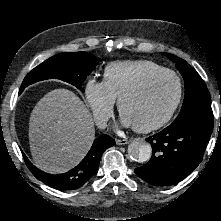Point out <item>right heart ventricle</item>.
I'll list each match as a JSON object with an SVG mask.
<instances>
[{"instance_id": "right-heart-ventricle-1", "label": "right heart ventricle", "mask_w": 221, "mask_h": 221, "mask_svg": "<svg viewBox=\"0 0 221 221\" xmlns=\"http://www.w3.org/2000/svg\"><path fill=\"white\" fill-rule=\"evenodd\" d=\"M164 69L163 66L151 60H124L108 64L103 71L104 83L115 97L138 82L145 75Z\"/></svg>"}]
</instances>
